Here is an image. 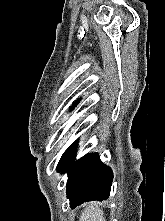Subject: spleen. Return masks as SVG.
Listing matches in <instances>:
<instances>
[{
    "label": "spleen",
    "mask_w": 165,
    "mask_h": 221,
    "mask_svg": "<svg viewBox=\"0 0 165 221\" xmlns=\"http://www.w3.org/2000/svg\"><path fill=\"white\" fill-rule=\"evenodd\" d=\"M79 221H105L103 211L100 209L98 202L87 204L86 208L80 215Z\"/></svg>",
    "instance_id": "spleen-1"
}]
</instances>
